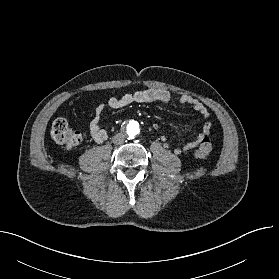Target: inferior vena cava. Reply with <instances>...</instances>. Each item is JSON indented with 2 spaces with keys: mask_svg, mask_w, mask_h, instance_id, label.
Here are the masks:
<instances>
[{
  "mask_svg": "<svg viewBox=\"0 0 279 279\" xmlns=\"http://www.w3.org/2000/svg\"><path fill=\"white\" fill-rule=\"evenodd\" d=\"M124 140H125V136L122 133H118L114 135L112 138V142L117 145L124 143Z\"/></svg>",
  "mask_w": 279,
  "mask_h": 279,
  "instance_id": "inferior-vena-cava-1",
  "label": "inferior vena cava"
}]
</instances>
